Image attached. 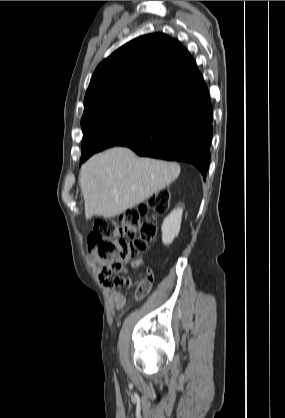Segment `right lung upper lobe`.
<instances>
[{"instance_id": "1", "label": "right lung upper lobe", "mask_w": 285, "mask_h": 418, "mask_svg": "<svg viewBox=\"0 0 285 418\" xmlns=\"http://www.w3.org/2000/svg\"><path fill=\"white\" fill-rule=\"evenodd\" d=\"M205 85L193 57L178 40L164 33L144 35L98 65L82 118L104 106L135 100L169 107Z\"/></svg>"}]
</instances>
